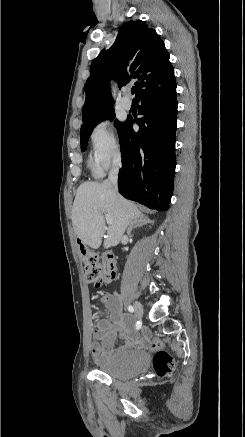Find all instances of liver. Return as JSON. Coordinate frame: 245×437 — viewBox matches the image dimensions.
Here are the masks:
<instances>
[{
    "label": "liver",
    "mask_w": 245,
    "mask_h": 437,
    "mask_svg": "<svg viewBox=\"0 0 245 437\" xmlns=\"http://www.w3.org/2000/svg\"><path fill=\"white\" fill-rule=\"evenodd\" d=\"M104 213L112 219L103 243L106 249L119 244L129 224L145 218L134 202L113 190L108 180L81 184L73 203L72 224L77 237L93 249L100 247L106 232Z\"/></svg>",
    "instance_id": "6515ba94"
}]
</instances>
